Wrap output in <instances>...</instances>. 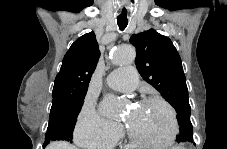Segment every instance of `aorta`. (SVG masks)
Wrapping results in <instances>:
<instances>
[{
    "label": "aorta",
    "instance_id": "aorta-1",
    "mask_svg": "<svg viewBox=\"0 0 227 149\" xmlns=\"http://www.w3.org/2000/svg\"><path fill=\"white\" fill-rule=\"evenodd\" d=\"M135 51L130 46H119L114 50L113 62L116 65L130 64L135 59ZM100 111L107 117L117 116L120 112L118 99L111 94L105 95L100 104Z\"/></svg>",
    "mask_w": 227,
    "mask_h": 149
}]
</instances>
